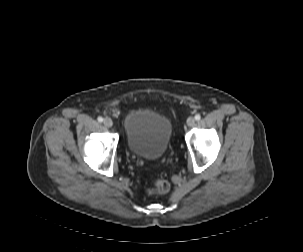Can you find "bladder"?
I'll return each mask as SVG.
<instances>
[{"mask_svg": "<svg viewBox=\"0 0 303 252\" xmlns=\"http://www.w3.org/2000/svg\"><path fill=\"white\" fill-rule=\"evenodd\" d=\"M124 132L129 152L145 160L161 158L172 138L167 117L151 110H134L124 118Z\"/></svg>", "mask_w": 303, "mask_h": 252, "instance_id": "bladder-1", "label": "bladder"}]
</instances>
